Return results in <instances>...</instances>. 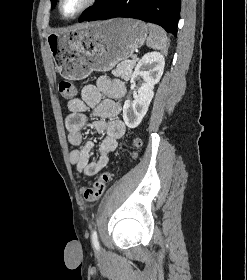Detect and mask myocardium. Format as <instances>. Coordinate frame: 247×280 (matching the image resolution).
I'll return each mask as SVG.
<instances>
[{"mask_svg": "<svg viewBox=\"0 0 247 280\" xmlns=\"http://www.w3.org/2000/svg\"><path fill=\"white\" fill-rule=\"evenodd\" d=\"M97 2H98V0H86L85 3L81 6V8L78 11H76L73 15L66 17L62 13V5L64 3V0H59L58 6H57L58 13H59L60 17L64 20H74V19L78 18L80 15H82L84 12H86L88 9H90L92 6H94Z\"/></svg>", "mask_w": 247, "mask_h": 280, "instance_id": "1", "label": "myocardium"}]
</instances>
